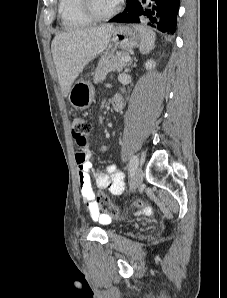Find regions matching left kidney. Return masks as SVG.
Wrapping results in <instances>:
<instances>
[{
    "label": "left kidney",
    "instance_id": "left-kidney-1",
    "mask_svg": "<svg viewBox=\"0 0 227 298\" xmlns=\"http://www.w3.org/2000/svg\"><path fill=\"white\" fill-rule=\"evenodd\" d=\"M155 66H156V62H154L153 60H149L145 63L146 70H151Z\"/></svg>",
    "mask_w": 227,
    "mask_h": 298
}]
</instances>
